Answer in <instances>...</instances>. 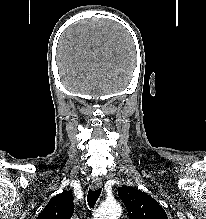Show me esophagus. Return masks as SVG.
I'll return each mask as SVG.
<instances>
[{
	"mask_svg": "<svg viewBox=\"0 0 206 219\" xmlns=\"http://www.w3.org/2000/svg\"><path fill=\"white\" fill-rule=\"evenodd\" d=\"M101 186H102V180H101V178L96 177V178H94V179L92 180V182H91V187H92L93 189H98V188H100Z\"/></svg>",
	"mask_w": 206,
	"mask_h": 219,
	"instance_id": "34e87169",
	"label": "esophagus"
}]
</instances>
